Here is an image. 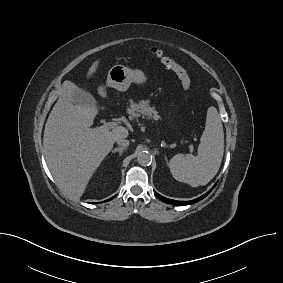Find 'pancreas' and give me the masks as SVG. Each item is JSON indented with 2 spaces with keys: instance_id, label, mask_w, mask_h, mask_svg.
<instances>
[{
  "instance_id": "obj_1",
  "label": "pancreas",
  "mask_w": 283,
  "mask_h": 283,
  "mask_svg": "<svg viewBox=\"0 0 283 283\" xmlns=\"http://www.w3.org/2000/svg\"><path fill=\"white\" fill-rule=\"evenodd\" d=\"M127 113L129 114L130 119H137L140 116L154 120H159L161 118L155 107H151L148 101L143 100L139 101L138 103L130 100Z\"/></svg>"
}]
</instances>
